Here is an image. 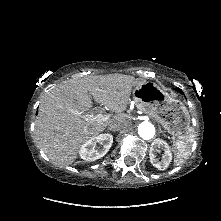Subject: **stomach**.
Returning <instances> with one entry per match:
<instances>
[{"label": "stomach", "mask_w": 221, "mask_h": 221, "mask_svg": "<svg viewBox=\"0 0 221 221\" xmlns=\"http://www.w3.org/2000/svg\"><path fill=\"white\" fill-rule=\"evenodd\" d=\"M133 98L136 107L153 116L168 133L180 136L188 131L190 115L186 107L156 83L146 81L136 86Z\"/></svg>", "instance_id": "stomach-1"}]
</instances>
